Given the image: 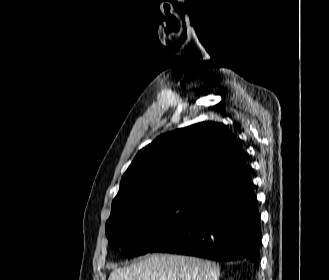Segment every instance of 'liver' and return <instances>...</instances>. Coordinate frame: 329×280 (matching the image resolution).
<instances>
[{
  "label": "liver",
  "instance_id": "6515ba94",
  "mask_svg": "<svg viewBox=\"0 0 329 280\" xmlns=\"http://www.w3.org/2000/svg\"><path fill=\"white\" fill-rule=\"evenodd\" d=\"M219 267L210 261L172 254H152L123 268L108 280H218Z\"/></svg>",
  "mask_w": 329,
  "mask_h": 280
}]
</instances>
